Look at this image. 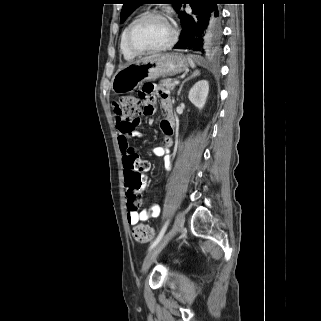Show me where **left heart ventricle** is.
I'll return each mask as SVG.
<instances>
[{
  "label": "left heart ventricle",
  "instance_id": "1",
  "mask_svg": "<svg viewBox=\"0 0 321 321\" xmlns=\"http://www.w3.org/2000/svg\"><path fill=\"white\" fill-rule=\"evenodd\" d=\"M171 37V28L162 18L149 17L137 25L132 44L139 50H148L165 44Z\"/></svg>",
  "mask_w": 321,
  "mask_h": 321
}]
</instances>
